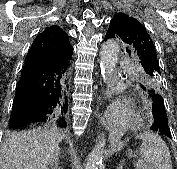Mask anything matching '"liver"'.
I'll return each instance as SVG.
<instances>
[{"mask_svg": "<svg viewBox=\"0 0 177 169\" xmlns=\"http://www.w3.org/2000/svg\"><path fill=\"white\" fill-rule=\"evenodd\" d=\"M63 138L49 128L12 134L2 144L0 169H48Z\"/></svg>", "mask_w": 177, "mask_h": 169, "instance_id": "6515ba94", "label": "liver"}]
</instances>
